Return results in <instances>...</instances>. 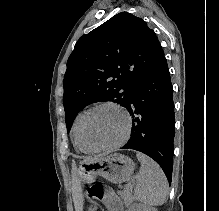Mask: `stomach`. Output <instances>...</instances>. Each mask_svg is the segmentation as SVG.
Listing matches in <instances>:
<instances>
[{
	"instance_id": "0dacf381",
	"label": "stomach",
	"mask_w": 219,
	"mask_h": 211,
	"mask_svg": "<svg viewBox=\"0 0 219 211\" xmlns=\"http://www.w3.org/2000/svg\"><path fill=\"white\" fill-rule=\"evenodd\" d=\"M134 162L127 156L114 153L93 161L81 162L77 173L84 183H93L97 176L120 184L126 181L134 171ZM89 211H93L90 209Z\"/></svg>"
}]
</instances>
